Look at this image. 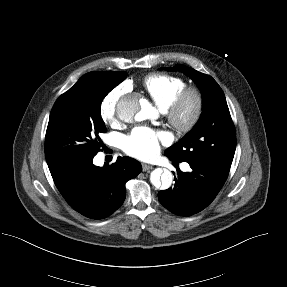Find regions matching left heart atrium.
<instances>
[{
    "mask_svg": "<svg viewBox=\"0 0 287 287\" xmlns=\"http://www.w3.org/2000/svg\"><path fill=\"white\" fill-rule=\"evenodd\" d=\"M165 132L156 131L149 127H136L122 141L123 150L130 156L148 160L157 155L161 142H167Z\"/></svg>",
    "mask_w": 287,
    "mask_h": 287,
    "instance_id": "1",
    "label": "left heart atrium"
}]
</instances>
